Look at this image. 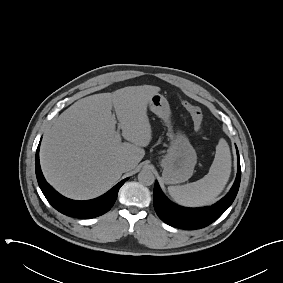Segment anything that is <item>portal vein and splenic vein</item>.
<instances>
[{
  "label": "portal vein and splenic vein",
  "instance_id": "obj_1",
  "mask_svg": "<svg viewBox=\"0 0 283 283\" xmlns=\"http://www.w3.org/2000/svg\"><path fill=\"white\" fill-rule=\"evenodd\" d=\"M116 136H117V138H120L119 130H117V132H116Z\"/></svg>",
  "mask_w": 283,
  "mask_h": 283
}]
</instances>
